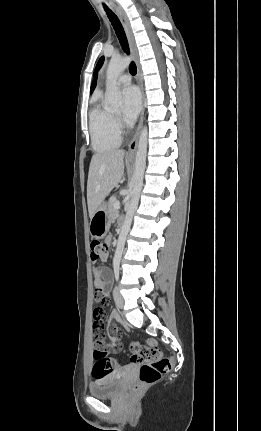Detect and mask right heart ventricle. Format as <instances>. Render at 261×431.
Wrapping results in <instances>:
<instances>
[{
    "instance_id": "right-heart-ventricle-1",
    "label": "right heart ventricle",
    "mask_w": 261,
    "mask_h": 431,
    "mask_svg": "<svg viewBox=\"0 0 261 431\" xmlns=\"http://www.w3.org/2000/svg\"><path fill=\"white\" fill-rule=\"evenodd\" d=\"M99 98V95L95 98L89 113L91 144L96 152L108 153L120 146L121 134L111 112L100 104Z\"/></svg>"
}]
</instances>
